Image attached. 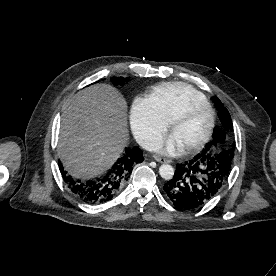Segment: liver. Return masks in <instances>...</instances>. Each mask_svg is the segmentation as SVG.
<instances>
[{"label": "liver", "instance_id": "liver-1", "mask_svg": "<svg viewBox=\"0 0 276 276\" xmlns=\"http://www.w3.org/2000/svg\"><path fill=\"white\" fill-rule=\"evenodd\" d=\"M128 139L125 99L112 86L97 84L79 91L65 106L58 154L70 174L88 178L109 169Z\"/></svg>", "mask_w": 276, "mask_h": 276}]
</instances>
